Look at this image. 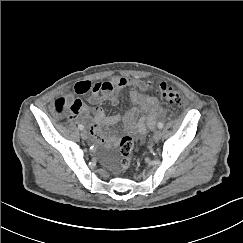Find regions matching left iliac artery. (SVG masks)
Masks as SVG:
<instances>
[{"mask_svg": "<svg viewBox=\"0 0 243 243\" xmlns=\"http://www.w3.org/2000/svg\"><path fill=\"white\" fill-rule=\"evenodd\" d=\"M163 126H164V124H163V123H161V122H159V123L157 124V127H158L159 129H162V128H163Z\"/></svg>", "mask_w": 243, "mask_h": 243, "instance_id": "44dca946", "label": "left iliac artery"}]
</instances>
